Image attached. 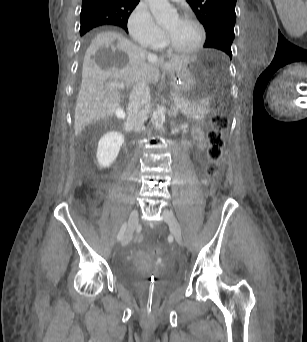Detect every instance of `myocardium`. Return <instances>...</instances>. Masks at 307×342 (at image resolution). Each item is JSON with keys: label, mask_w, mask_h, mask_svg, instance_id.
<instances>
[{"label": "myocardium", "mask_w": 307, "mask_h": 342, "mask_svg": "<svg viewBox=\"0 0 307 342\" xmlns=\"http://www.w3.org/2000/svg\"><path fill=\"white\" fill-rule=\"evenodd\" d=\"M179 20L183 22H190L198 28L199 33H200L198 42L189 49L175 50L169 47L167 38L165 37L164 43L161 47L162 50L168 54L175 55V56H185V55H191V54L197 53L206 45V42H207V30H206L205 24L195 16L185 15V16L180 17Z\"/></svg>", "instance_id": "obj_1"}]
</instances>
